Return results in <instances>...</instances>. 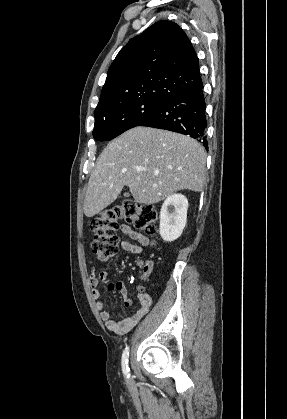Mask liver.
<instances>
[{
  "instance_id": "liver-1",
  "label": "liver",
  "mask_w": 287,
  "mask_h": 419,
  "mask_svg": "<svg viewBox=\"0 0 287 419\" xmlns=\"http://www.w3.org/2000/svg\"><path fill=\"white\" fill-rule=\"evenodd\" d=\"M205 164L204 148L189 136L132 128L112 140L98 157L86 189L84 214L93 217L101 212L124 186L141 204L157 203L183 189L200 192L206 182Z\"/></svg>"
}]
</instances>
